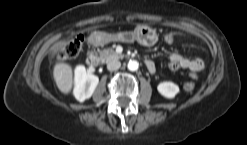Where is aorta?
I'll list each match as a JSON object with an SVG mask.
<instances>
[{
    "label": "aorta",
    "mask_w": 247,
    "mask_h": 145,
    "mask_svg": "<svg viewBox=\"0 0 247 145\" xmlns=\"http://www.w3.org/2000/svg\"><path fill=\"white\" fill-rule=\"evenodd\" d=\"M138 67H139V64H138L137 61H135V60H130V61L128 62L127 68H128V70H130V71H136V70L138 69Z\"/></svg>",
    "instance_id": "762f6f07"
}]
</instances>
